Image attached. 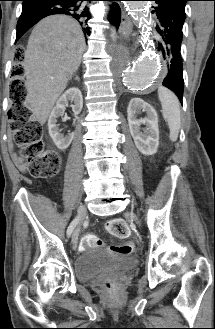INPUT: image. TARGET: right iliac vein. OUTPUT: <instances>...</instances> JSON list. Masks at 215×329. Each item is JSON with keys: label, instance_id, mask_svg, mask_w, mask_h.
Segmentation results:
<instances>
[{"label": "right iliac vein", "instance_id": "obj_1", "mask_svg": "<svg viewBox=\"0 0 215 329\" xmlns=\"http://www.w3.org/2000/svg\"><path fill=\"white\" fill-rule=\"evenodd\" d=\"M86 214V208L84 206H80L78 209V214H77V218L79 219L78 223L80 224L82 218L85 216ZM78 237H79V226H77V228L74 230L73 234H72V244L73 247H76L77 243H78Z\"/></svg>", "mask_w": 215, "mask_h": 329}]
</instances>
